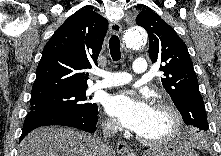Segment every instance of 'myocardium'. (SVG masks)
<instances>
[{"mask_svg":"<svg viewBox=\"0 0 221 156\" xmlns=\"http://www.w3.org/2000/svg\"><path fill=\"white\" fill-rule=\"evenodd\" d=\"M155 108L158 110H162L168 114L170 118V128L167 133L159 137L149 138L138 135V140L148 146L162 145L172 141L174 138L177 137L182 126L181 115L178 109L172 103L162 100L155 105Z\"/></svg>","mask_w":221,"mask_h":156,"instance_id":"obj_1","label":"myocardium"}]
</instances>
